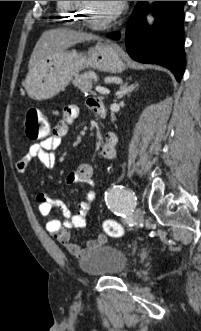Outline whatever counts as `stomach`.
I'll return each instance as SVG.
<instances>
[{
	"mask_svg": "<svg viewBox=\"0 0 201 331\" xmlns=\"http://www.w3.org/2000/svg\"><path fill=\"white\" fill-rule=\"evenodd\" d=\"M88 67L120 73L126 67L124 52L119 47L101 42L86 53L60 51L27 74L26 90L35 100L52 98L64 90L81 70Z\"/></svg>",
	"mask_w": 201,
	"mask_h": 331,
	"instance_id": "0dacf381",
	"label": "stomach"
}]
</instances>
